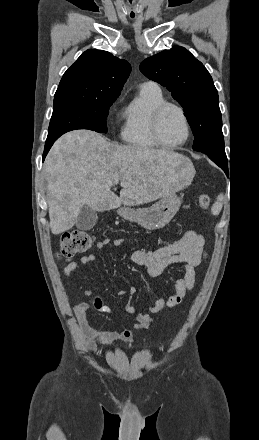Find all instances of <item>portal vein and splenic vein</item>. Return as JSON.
I'll use <instances>...</instances> for the list:
<instances>
[{"label":"portal vein and splenic vein","mask_w":259,"mask_h":440,"mask_svg":"<svg viewBox=\"0 0 259 440\" xmlns=\"http://www.w3.org/2000/svg\"><path fill=\"white\" fill-rule=\"evenodd\" d=\"M120 185H121L122 187H127V184H126L125 182H120Z\"/></svg>","instance_id":"1"}]
</instances>
